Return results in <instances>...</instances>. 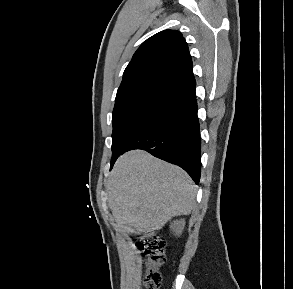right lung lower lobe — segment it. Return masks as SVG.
Masks as SVG:
<instances>
[{
  "label": "right lung lower lobe",
  "mask_w": 293,
  "mask_h": 289,
  "mask_svg": "<svg viewBox=\"0 0 293 289\" xmlns=\"http://www.w3.org/2000/svg\"><path fill=\"white\" fill-rule=\"evenodd\" d=\"M142 149L183 168L198 184L201 173V140L196 97L164 114L125 148L112 156L111 167L126 151Z\"/></svg>",
  "instance_id": "1"
}]
</instances>
